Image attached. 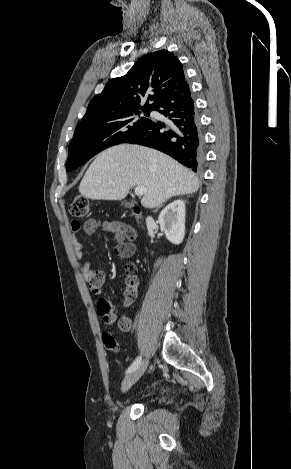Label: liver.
<instances>
[{
	"mask_svg": "<svg viewBox=\"0 0 291 469\" xmlns=\"http://www.w3.org/2000/svg\"><path fill=\"white\" fill-rule=\"evenodd\" d=\"M134 186L145 188L142 206L155 208L172 196L196 192L199 182L192 171L162 152L120 144L96 157L79 192L92 200H122Z\"/></svg>",
	"mask_w": 291,
	"mask_h": 469,
	"instance_id": "1",
	"label": "liver"
}]
</instances>
